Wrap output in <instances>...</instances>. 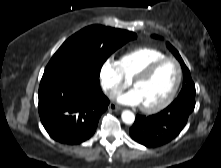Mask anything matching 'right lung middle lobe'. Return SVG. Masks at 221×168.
Listing matches in <instances>:
<instances>
[{
	"label": "right lung middle lobe",
	"mask_w": 221,
	"mask_h": 168,
	"mask_svg": "<svg viewBox=\"0 0 221 168\" xmlns=\"http://www.w3.org/2000/svg\"><path fill=\"white\" fill-rule=\"evenodd\" d=\"M136 37L135 33L126 30L101 25L88 26L68 38L47 66L81 65L99 75L107 58Z\"/></svg>",
	"instance_id": "dd1d6c3e"
}]
</instances>
